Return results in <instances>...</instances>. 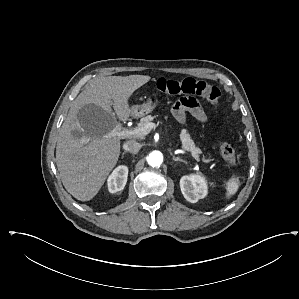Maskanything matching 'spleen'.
<instances>
[{
	"instance_id": "spleen-1",
	"label": "spleen",
	"mask_w": 299,
	"mask_h": 299,
	"mask_svg": "<svg viewBox=\"0 0 299 299\" xmlns=\"http://www.w3.org/2000/svg\"><path fill=\"white\" fill-rule=\"evenodd\" d=\"M239 188V179L238 177L233 176L231 179L228 180L226 183V199H230Z\"/></svg>"
}]
</instances>
